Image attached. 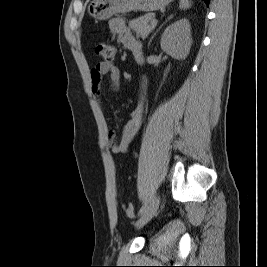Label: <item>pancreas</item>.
<instances>
[{"label":"pancreas","mask_w":267,"mask_h":267,"mask_svg":"<svg viewBox=\"0 0 267 267\" xmlns=\"http://www.w3.org/2000/svg\"><path fill=\"white\" fill-rule=\"evenodd\" d=\"M153 15L148 13L140 16L129 23V27L136 33L137 37L146 39L156 25H151Z\"/></svg>","instance_id":"1"}]
</instances>
